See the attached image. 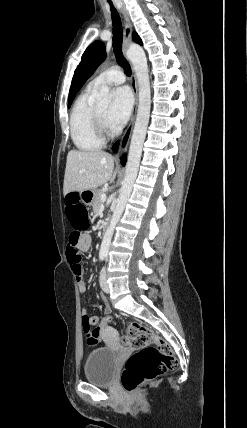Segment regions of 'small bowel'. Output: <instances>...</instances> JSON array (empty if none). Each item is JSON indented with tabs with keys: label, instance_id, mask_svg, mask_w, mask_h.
<instances>
[{
	"label": "small bowel",
	"instance_id": "1",
	"mask_svg": "<svg viewBox=\"0 0 247 428\" xmlns=\"http://www.w3.org/2000/svg\"><path fill=\"white\" fill-rule=\"evenodd\" d=\"M92 239L90 235L84 234L80 236L78 244H77V250L79 252H87L91 247ZM67 258L71 265L72 271L76 276L77 283H78V290L81 294L85 293L87 290V285L83 279V272L80 265V261L73 256L69 250H67ZM109 308V307H107ZM106 308V309H107ZM86 318L90 325H100L99 323V317L98 316H88L86 309L82 310V320ZM111 319V318H110ZM109 339L106 337L105 341H108Z\"/></svg>",
	"mask_w": 247,
	"mask_h": 428
}]
</instances>
